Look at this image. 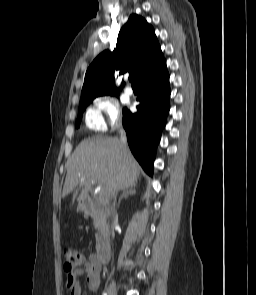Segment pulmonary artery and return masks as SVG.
Instances as JSON below:
<instances>
[{
  "mask_svg": "<svg viewBox=\"0 0 256 295\" xmlns=\"http://www.w3.org/2000/svg\"><path fill=\"white\" fill-rule=\"evenodd\" d=\"M125 93L128 94V95H132L133 94V89L130 86H126Z\"/></svg>",
  "mask_w": 256,
  "mask_h": 295,
  "instance_id": "obj_1",
  "label": "pulmonary artery"
}]
</instances>
